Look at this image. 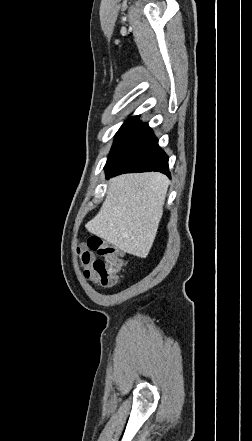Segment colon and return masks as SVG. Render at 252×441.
Here are the masks:
<instances>
[{
    "label": "colon",
    "instance_id": "5ec220e1",
    "mask_svg": "<svg viewBox=\"0 0 252 441\" xmlns=\"http://www.w3.org/2000/svg\"><path fill=\"white\" fill-rule=\"evenodd\" d=\"M79 256L84 276L105 287L117 283L126 265L122 251L97 236L88 238L86 245L80 248Z\"/></svg>",
    "mask_w": 252,
    "mask_h": 441
}]
</instances>
